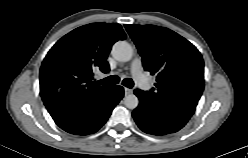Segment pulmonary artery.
<instances>
[{
	"instance_id": "pulmonary-artery-1",
	"label": "pulmonary artery",
	"mask_w": 248,
	"mask_h": 158,
	"mask_svg": "<svg viewBox=\"0 0 248 158\" xmlns=\"http://www.w3.org/2000/svg\"><path fill=\"white\" fill-rule=\"evenodd\" d=\"M131 73L135 82L144 90L150 89V80L142 72V60L135 57L131 63Z\"/></svg>"
}]
</instances>
